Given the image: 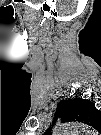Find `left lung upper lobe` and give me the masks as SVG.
Here are the masks:
<instances>
[{
	"mask_svg": "<svg viewBox=\"0 0 101 135\" xmlns=\"http://www.w3.org/2000/svg\"><path fill=\"white\" fill-rule=\"evenodd\" d=\"M94 112H96L94 104L82 98L61 101L57 109V113L61 115L63 122L79 121L86 123V120L90 118Z\"/></svg>",
	"mask_w": 101,
	"mask_h": 135,
	"instance_id": "obj_1",
	"label": "left lung upper lobe"
}]
</instances>
